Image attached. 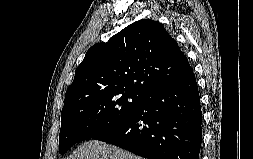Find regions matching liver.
I'll use <instances>...</instances> for the list:
<instances>
[{
    "label": "liver",
    "mask_w": 253,
    "mask_h": 159,
    "mask_svg": "<svg viewBox=\"0 0 253 159\" xmlns=\"http://www.w3.org/2000/svg\"><path fill=\"white\" fill-rule=\"evenodd\" d=\"M67 159H143L117 146L97 140L80 145Z\"/></svg>",
    "instance_id": "1"
}]
</instances>
